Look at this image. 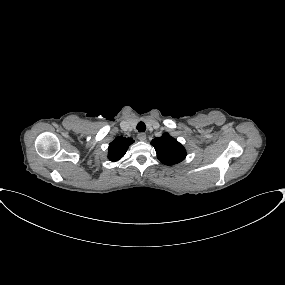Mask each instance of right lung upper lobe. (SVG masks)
Returning a JSON list of instances; mask_svg holds the SVG:
<instances>
[{
    "mask_svg": "<svg viewBox=\"0 0 285 285\" xmlns=\"http://www.w3.org/2000/svg\"><path fill=\"white\" fill-rule=\"evenodd\" d=\"M133 142L134 141L131 138H125L122 136L116 137L115 140L109 144L108 158L111 161H118L124 156L128 147Z\"/></svg>",
    "mask_w": 285,
    "mask_h": 285,
    "instance_id": "obj_1",
    "label": "right lung upper lobe"
}]
</instances>
